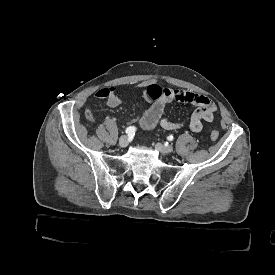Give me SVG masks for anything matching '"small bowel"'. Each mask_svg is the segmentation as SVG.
<instances>
[{
    "label": "small bowel",
    "mask_w": 275,
    "mask_h": 275,
    "mask_svg": "<svg viewBox=\"0 0 275 275\" xmlns=\"http://www.w3.org/2000/svg\"><path fill=\"white\" fill-rule=\"evenodd\" d=\"M149 84V82L140 83L136 86V89L142 90L148 87ZM95 96L98 99H106L107 105L111 108L119 106L123 101L122 96L109 89H100ZM173 101L194 104L197 109L187 122L161 118L165 106ZM151 107L152 112L145 118L143 130H151L159 123L165 130H177L186 126L192 132H199L202 130L204 122H212L214 120L216 112V106L209 98L185 90L173 89H167L163 97L156 100Z\"/></svg>",
    "instance_id": "1"
}]
</instances>
